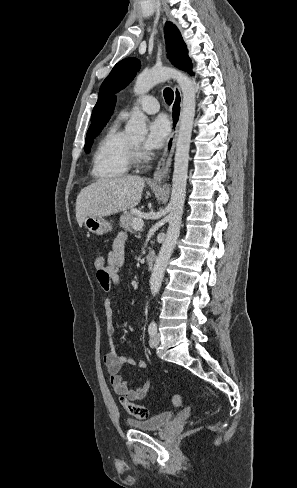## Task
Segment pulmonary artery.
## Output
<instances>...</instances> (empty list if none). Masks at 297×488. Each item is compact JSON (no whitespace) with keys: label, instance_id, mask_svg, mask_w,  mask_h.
<instances>
[{"label":"pulmonary artery","instance_id":"1","mask_svg":"<svg viewBox=\"0 0 297 488\" xmlns=\"http://www.w3.org/2000/svg\"><path fill=\"white\" fill-rule=\"evenodd\" d=\"M137 104L139 107L148 114H154L159 111V103L153 96H143L138 99Z\"/></svg>","mask_w":297,"mask_h":488}]
</instances>
